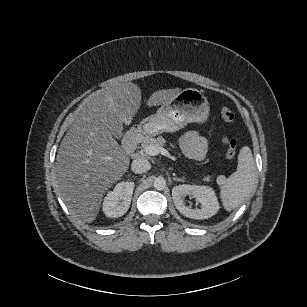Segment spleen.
<instances>
[{
  "instance_id": "1",
  "label": "spleen",
  "mask_w": 307,
  "mask_h": 307,
  "mask_svg": "<svg viewBox=\"0 0 307 307\" xmlns=\"http://www.w3.org/2000/svg\"><path fill=\"white\" fill-rule=\"evenodd\" d=\"M257 187V174L252 151L248 146L241 148L237 170L225 180L220 188L224 208L231 211L250 197Z\"/></svg>"
}]
</instances>
